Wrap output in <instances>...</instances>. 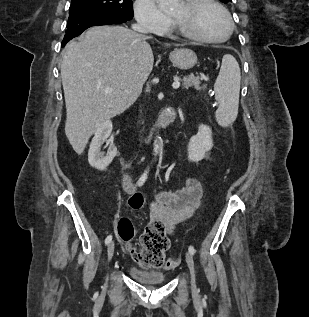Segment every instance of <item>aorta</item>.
<instances>
[{
  "label": "aorta",
  "mask_w": 309,
  "mask_h": 317,
  "mask_svg": "<svg viewBox=\"0 0 309 317\" xmlns=\"http://www.w3.org/2000/svg\"><path fill=\"white\" fill-rule=\"evenodd\" d=\"M157 2L163 11H169L178 4L179 0H157ZM160 147V137L156 136L153 143V154L155 157L158 155Z\"/></svg>",
  "instance_id": "obj_1"
}]
</instances>
